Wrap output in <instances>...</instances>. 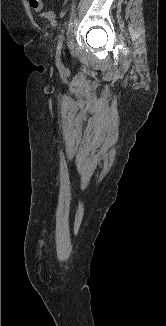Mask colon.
<instances>
[{
  "label": "colon",
  "mask_w": 166,
  "mask_h": 326,
  "mask_svg": "<svg viewBox=\"0 0 166 326\" xmlns=\"http://www.w3.org/2000/svg\"><path fill=\"white\" fill-rule=\"evenodd\" d=\"M40 16L43 18V19H46L48 21H51V22H54L55 20V14L53 11H50V10H44L40 13Z\"/></svg>",
  "instance_id": "5ec220e1"
}]
</instances>
